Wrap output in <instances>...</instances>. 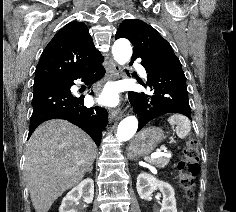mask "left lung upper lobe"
I'll return each mask as SVG.
<instances>
[{"label": "left lung upper lobe", "mask_w": 236, "mask_h": 212, "mask_svg": "<svg viewBox=\"0 0 236 212\" xmlns=\"http://www.w3.org/2000/svg\"><path fill=\"white\" fill-rule=\"evenodd\" d=\"M118 38H127L132 43V58H141L142 63L179 61L171 45L141 20H124L117 30L115 39Z\"/></svg>", "instance_id": "1"}]
</instances>
